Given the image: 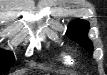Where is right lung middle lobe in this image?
<instances>
[{
    "instance_id": "right-lung-middle-lobe-1",
    "label": "right lung middle lobe",
    "mask_w": 107,
    "mask_h": 75,
    "mask_svg": "<svg viewBox=\"0 0 107 75\" xmlns=\"http://www.w3.org/2000/svg\"><path fill=\"white\" fill-rule=\"evenodd\" d=\"M14 63V55L10 51L0 49V74L7 72Z\"/></svg>"
}]
</instances>
